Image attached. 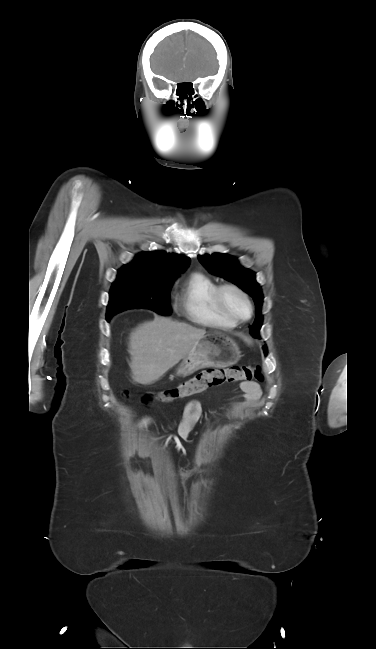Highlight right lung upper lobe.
<instances>
[{"mask_svg": "<svg viewBox=\"0 0 376 649\" xmlns=\"http://www.w3.org/2000/svg\"><path fill=\"white\" fill-rule=\"evenodd\" d=\"M149 275L183 272L190 264V258L164 251L142 252L130 263Z\"/></svg>", "mask_w": 376, "mask_h": 649, "instance_id": "1", "label": "right lung upper lobe"}]
</instances>
